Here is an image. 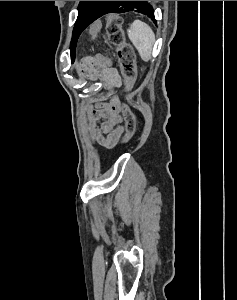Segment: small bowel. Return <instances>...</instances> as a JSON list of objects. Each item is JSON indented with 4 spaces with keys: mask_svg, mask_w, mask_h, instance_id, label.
Segmentation results:
<instances>
[{
    "mask_svg": "<svg viewBox=\"0 0 237 300\" xmlns=\"http://www.w3.org/2000/svg\"><path fill=\"white\" fill-rule=\"evenodd\" d=\"M80 72L88 80L99 81L111 93L108 103L98 102L89 108L86 128L94 142L112 148L118 143L122 133L120 103L115 95V90L120 85L118 71L110 66H96L85 59L80 64ZM100 120L102 122L97 125Z\"/></svg>",
    "mask_w": 237,
    "mask_h": 300,
    "instance_id": "c3829d8e",
    "label": "small bowel"
}]
</instances>
